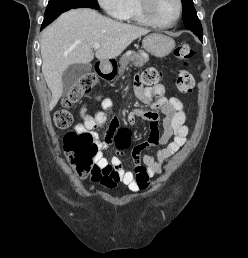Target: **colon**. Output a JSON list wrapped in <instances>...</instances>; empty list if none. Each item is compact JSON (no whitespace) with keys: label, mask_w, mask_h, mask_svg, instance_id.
I'll list each match as a JSON object with an SVG mask.
<instances>
[{"label":"colon","mask_w":248,"mask_h":258,"mask_svg":"<svg viewBox=\"0 0 248 258\" xmlns=\"http://www.w3.org/2000/svg\"><path fill=\"white\" fill-rule=\"evenodd\" d=\"M178 63L188 66L193 59V49L188 43H181L175 50ZM160 73L155 68L147 69L142 75V82L148 86H157L160 81ZM98 79L94 74L84 75L63 99L62 107L54 112V125L58 129H67L71 126L73 118L68 108L78 102L84 94L91 92L97 85ZM195 85L192 74L182 70L176 77V87L184 94L191 93ZM128 139V132L122 130L118 135L119 145L123 148ZM64 151L76 172L81 176L91 175L94 179L99 176H111L95 163L98 154V146L89 132L70 131L64 137ZM112 176H117L115 171Z\"/></svg>","instance_id":"5ec220e1"}]
</instances>
